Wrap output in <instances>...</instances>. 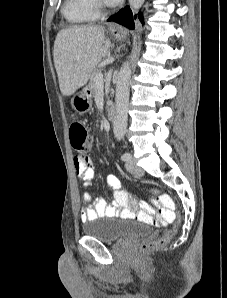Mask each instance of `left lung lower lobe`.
Segmentation results:
<instances>
[{
  "label": "left lung lower lobe",
  "mask_w": 227,
  "mask_h": 298,
  "mask_svg": "<svg viewBox=\"0 0 227 298\" xmlns=\"http://www.w3.org/2000/svg\"><path fill=\"white\" fill-rule=\"evenodd\" d=\"M139 18V20L143 23V16L141 13L137 15L132 16V11L129 7H125L124 9H121L118 13L111 16L108 21H114L117 22L129 29H134V23L133 20Z\"/></svg>",
  "instance_id": "left-lung-lower-lobe-1"
}]
</instances>
